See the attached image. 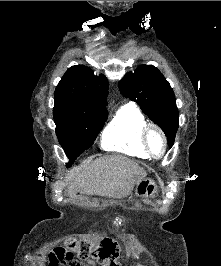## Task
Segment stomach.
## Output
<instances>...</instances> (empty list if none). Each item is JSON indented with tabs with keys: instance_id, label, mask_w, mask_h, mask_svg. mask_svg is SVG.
<instances>
[{
	"instance_id": "stomach-1",
	"label": "stomach",
	"mask_w": 221,
	"mask_h": 266,
	"mask_svg": "<svg viewBox=\"0 0 221 266\" xmlns=\"http://www.w3.org/2000/svg\"><path fill=\"white\" fill-rule=\"evenodd\" d=\"M157 184L148 177L139 180L135 189V196L138 198H155L158 194Z\"/></svg>"
}]
</instances>
